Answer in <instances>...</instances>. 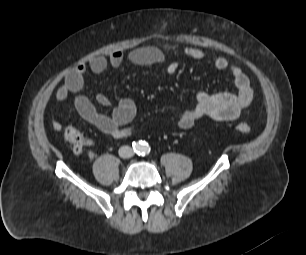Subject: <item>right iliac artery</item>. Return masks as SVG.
I'll list each match as a JSON object with an SVG mask.
<instances>
[{"label": "right iliac artery", "instance_id": "82829eb1", "mask_svg": "<svg viewBox=\"0 0 306 255\" xmlns=\"http://www.w3.org/2000/svg\"><path fill=\"white\" fill-rule=\"evenodd\" d=\"M133 147H134V149L136 148V149H139L140 148V144L139 143H133Z\"/></svg>", "mask_w": 306, "mask_h": 255}]
</instances>
